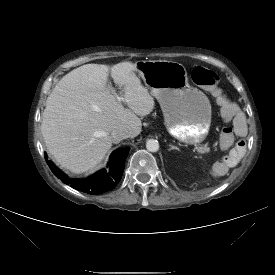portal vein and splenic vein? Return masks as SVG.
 <instances>
[{"instance_id": "portal-vein-and-splenic-vein-1", "label": "portal vein and splenic vein", "mask_w": 275, "mask_h": 275, "mask_svg": "<svg viewBox=\"0 0 275 275\" xmlns=\"http://www.w3.org/2000/svg\"><path fill=\"white\" fill-rule=\"evenodd\" d=\"M117 100L120 102V101H123L124 98L117 96ZM208 151H209L208 147H201L200 150H199V152H201V153L208 152Z\"/></svg>"}]
</instances>
